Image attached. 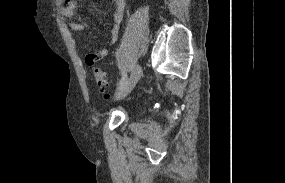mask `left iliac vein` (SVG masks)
Here are the masks:
<instances>
[{
  "label": "left iliac vein",
  "mask_w": 285,
  "mask_h": 183,
  "mask_svg": "<svg viewBox=\"0 0 285 183\" xmlns=\"http://www.w3.org/2000/svg\"><path fill=\"white\" fill-rule=\"evenodd\" d=\"M141 75H142V68L138 64L133 69V71L130 75V78L127 80V83L120 90H118V93H117V99L118 100L124 98L125 96H127L131 92V90L134 88V86L136 85V83L140 79Z\"/></svg>",
  "instance_id": "obj_1"
}]
</instances>
